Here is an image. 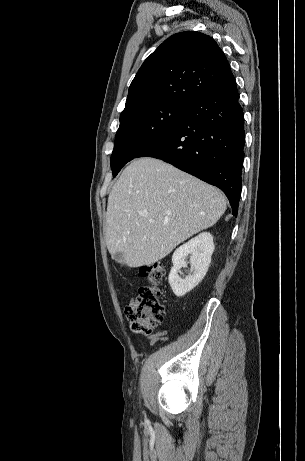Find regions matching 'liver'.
Listing matches in <instances>:
<instances>
[{
    "instance_id": "6515ba94",
    "label": "liver",
    "mask_w": 305,
    "mask_h": 461,
    "mask_svg": "<svg viewBox=\"0 0 305 461\" xmlns=\"http://www.w3.org/2000/svg\"><path fill=\"white\" fill-rule=\"evenodd\" d=\"M225 210L217 188L161 160L139 158L109 194L107 248L113 258L121 253L118 262L128 267L151 265L216 224Z\"/></svg>"
}]
</instances>
